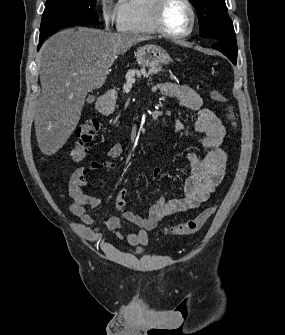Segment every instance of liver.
Wrapping results in <instances>:
<instances>
[{
	"instance_id": "obj_1",
	"label": "liver",
	"mask_w": 285,
	"mask_h": 335,
	"mask_svg": "<svg viewBox=\"0 0 285 335\" xmlns=\"http://www.w3.org/2000/svg\"><path fill=\"white\" fill-rule=\"evenodd\" d=\"M152 36L68 28L51 36L38 52L41 96L34 114L38 146L56 154L74 132L88 92L104 86L119 54Z\"/></svg>"
}]
</instances>
